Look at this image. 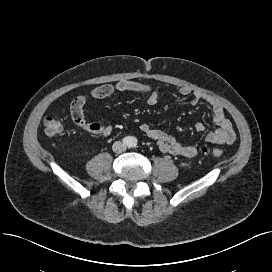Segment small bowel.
<instances>
[{
	"mask_svg": "<svg viewBox=\"0 0 272 272\" xmlns=\"http://www.w3.org/2000/svg\"><path fill=\"white\" fill-rule=\"evenodd\" d=\"M133 92L147 95V103L154 106L158 103L160 93L150 84L132 80H121L115 84H105L92 89L89 93L83 94L71 103V116L74 123L82 130L96 137H108L113 133V127L109 124L99 122H88L84 116V106L89 100L104 99L116 93ZM179 93L184 97H190L193 105L205 103L211 111L212 119L216 129L206 131L202 123L196 125L198 132L205 133V140L211 144H232L236 134L231 121L225 116L224 107L217 99L195 92L188 87H181ZM139 130L148 138L155 141L159 150L175 156L192 158L197 154V149L188 144L179 142L164 131L154 128L147 123H141Z\"/></svg>",
	"mask_w": 272,
	"mask_h": 272,
	"instance_id": "c3829d8e",
	"label": "small bowel"
}]
</instances>
